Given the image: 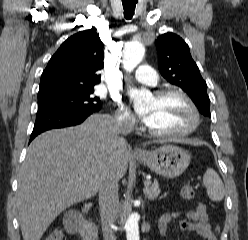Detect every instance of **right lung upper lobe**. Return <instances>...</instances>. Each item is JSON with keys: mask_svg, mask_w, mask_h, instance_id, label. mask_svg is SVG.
Returning a JSON list of instances; mask_svg holds the SVG:
<instances>
[{"mask_svg": "<svg viewBox=\"0 0 248 240\" xmlns=\"http://www.w3.org/2000/svg\"><path fill=\"white\" fill-rule=\"evenodd\" d=\"M103 46L95 28L69 37L50 59L40 80L38 96L75 92L99 84Z\"/></svg>", "mask_w": 248, "mask_h": 240, "instance_id": "cb5924a9", "label": "right lung upper lobe"}]
</instances>
